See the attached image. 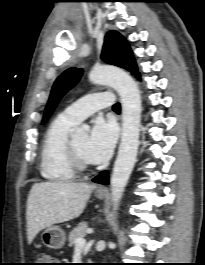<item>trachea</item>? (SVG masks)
<instances>
[{
  "label": "trachea",
  "mask_w": 205,
  "mask_h": 265,
  "mask_svg": "<svg viewBox=\"0 0 205 265\" xmlns=\"http://www.w3.org/2000/svg\"><path fill=\"white\" fill-rule=\"evenodd\" d=\"M113 109H114V110H120V103H116V104L113 106Z\"/></svg>",
  "instance_id": "1"
}]
</instances>
